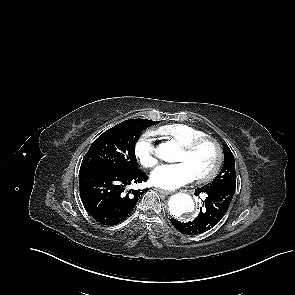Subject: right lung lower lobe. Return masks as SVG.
Instances as JSON below:
<instances>
[{"instance_id":"98d812e1","label":"right lung lower lobe","mask_w":295,"mask_h":295,"mask_svg":"<svg viewBox=\"0 0 295 295\" xmlns=\"http://www.w3.org/2000/svg\"><path fill=\"white\" fill-rule=\"evenodd\" d=\"M147 180L139 169L87 170L79 173L80 196L84 207L99 223L113 226L130 216L136 202L147 191L128 186Z\"/></svg>"}]
</instances>
